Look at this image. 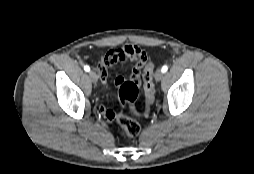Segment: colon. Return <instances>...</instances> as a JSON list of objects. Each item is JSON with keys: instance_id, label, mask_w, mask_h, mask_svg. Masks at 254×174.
Here are the masks:
<instances>
[{"instance_id": "5ec220e1", "label": "colon", "mask_w": 254, "mask_h": 174, "mask_svg": "<svg viewBox=\"0 0 254 174\" xmlns=\"http://www.w3.org/2000/svg\"><path fill=\"white\" fill-rule=\"evenodd\" d=\"M155 70V65L152 62H148L145 65L143 73V83H144V93L146 110L144 114L149 112L150 106L154 100V84H153V73ZM138 84L133 81L124 82L119 87V102L122 106L128 104L132 111H135V101L138 97ZM113 119L116 122L118 132L127 138H135L140 133L139 124L119 111L114 114Z\"/></svg>"}]
</instances>
